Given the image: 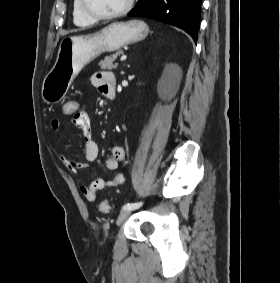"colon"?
<instances>
[{
    "label": "colon",
    "instance_id": "5ec220e1",
    "mask_svg": "<svg viewBox=\"0 0 280 283\" xmlns=\"http://www.w3.org/2000/svg\"><path fill=\"white\" fill-rule=\"evenodd\" d=\"M60 112L62 116H74L75 112H81L78 99L75 97H72L71 99H65L63 107H60ZM100 211L103 214H108L110 212V205L107 201L101 202Z\"/></svg>",
    "mask_w": 280,
    "mask_h": 283
}]
</instances>
